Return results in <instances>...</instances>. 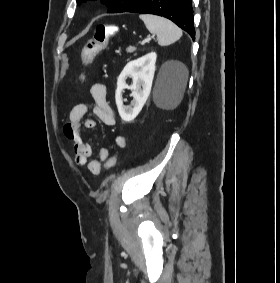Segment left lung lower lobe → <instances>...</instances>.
I'll use <instances>...</instances> for the list:
<instances>
[{
    "label": "left lung lower lobe",
    "instance_id": "1",
    "mask_svg": "<svg viewBox=\"0 0 280 283\" xmlns=\"http://www.w3.org/2000/svg\"><path fill=\"white\" fill-rule=\"evenodd\" d=\"M125 12L164 16L195 39L191 0H140Z\"/></svg>",
    "mask_w": 280,
    "mask_h": 283
}]
</instances>
